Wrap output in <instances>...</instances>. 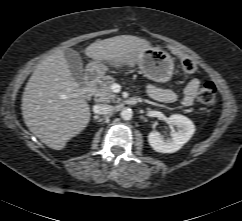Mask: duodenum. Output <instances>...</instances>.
Wrapping results in <instances>:
<instances>
[{
	"instance_id": "duodenum-1",
	"label": "duodenum",
	"mask_w": 242,
	"mask_h": 221,
	"mask_svg": "<svg viewBox=\"0 0 242 221\" xmlns=\"http://www.w3.org/2000/svg\"><path fill=\"white\" fill-rule=\"evenodd\" d=\"M98 78V72L96 70H92L87 74L86 77V86L82 91V95L85 98H88L92 95V87L95 83V81Z\"/></svg>"
}]
</instances>
